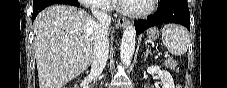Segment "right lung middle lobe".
<instances>
[{
    "label": "right lung middle lobe",
    "mask_w": 227,
    "mask_h": 88,
    "mask_svg": "<svg viewBox=\"0 0 227 88\" xmlns=\"http://www.w3.org/2000/svg\"><path fill=\"white\" fill-rule=\"evenodd\" d=\"M65 2L74 6H79V3L77 0H66Z\"/></svg>",
    "instance_id": "right-lung-middle-lobe-1"
}]
</instances>
